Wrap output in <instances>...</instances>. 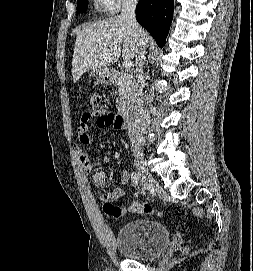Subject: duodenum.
<instances>
[{"label": "duodenum", "mask_w": 253, "mask_h": 271, "mask_svg": "<svg viewBox=\"0 0 253 271\" xmlns=\"http://www.w3.org/2000/svg\"><path fill=\"white\" fill-rule=\"evenodd\" d=\"M132 121V112L129 107L121 108L116 117V124L119 127H126Z\"/></svg>", "instance_id": "obj_1"}]
</instances>
